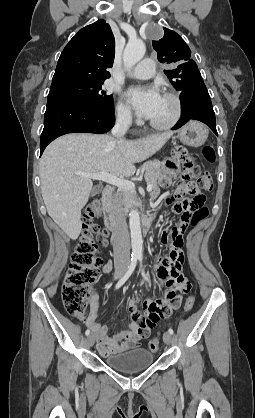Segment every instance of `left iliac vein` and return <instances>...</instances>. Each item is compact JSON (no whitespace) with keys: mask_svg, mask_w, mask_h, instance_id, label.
Returning a JSON list of instances; mask_svg holds the SVG:
<instances>
[{"mask_svg":"<svg viewBox=\"0 0 255 418\" xmlns=\"http://www.w3.org/2000/svg\"><path fill=\"white\" fill-rule=\"evenodd\" d=\"M163 341H164L167 345H170V344H171V342H172V336H171V334H170L169 332H165V333L163 334Z\"/></svg>","mask_w":255,"mask_h":418,"instance_id":"4c4485c4","label":"left iliac vein"}]
</instances>
